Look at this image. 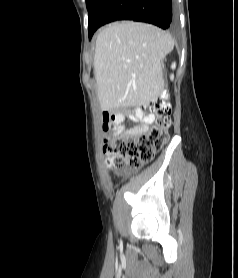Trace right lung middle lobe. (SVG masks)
<instances>
[{
  "label": "right lung middle lobe",
  "instance_id": "1",
  "mask_svg": "<svg viewBox=\"0 0 238 278\" xmlns=\"http://www.w3.org/2000/svg\"><path fill=\"white\" fill-rule=\"evenodd\" d=\"M96 0H86V4H87V9L88 11L90 10V8L92 7L93 3L95 2Z\"/></svg>",
  "mask_w": 238,
  "mask_h": 278
}]
</instances>
